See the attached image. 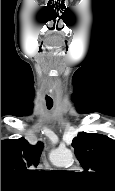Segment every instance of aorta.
<instances>
[{
	"instance_id": "aorta-1",
	"label": "aorta",
	"mask_w": 115,
	"mask_h": 191,
	"mask_svg": "<svg viewBox=\"0 0 115 191\" xmlns=\"http://www.w3.org/2000/svg\"><path fill=\"white\" fill-rule=\"evenodd\" d=\"M51 161L56 166H67L73 162V154L70 150H56L51 154Z\"/></svg>"
}]
</instances>
